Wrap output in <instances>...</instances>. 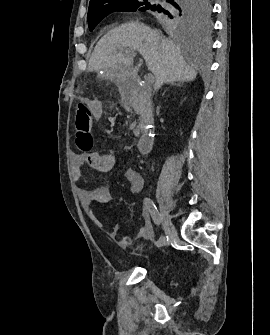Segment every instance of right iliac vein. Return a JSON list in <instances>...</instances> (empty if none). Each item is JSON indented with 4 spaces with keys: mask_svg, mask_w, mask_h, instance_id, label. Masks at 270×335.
I'll return each instance as SVG.
<instances>
[{
    "mask_svg": "<svg viewBox=\"0 0 270 335\" xmlns=\"http://www.w3.org/2000/svg\"><path fill=\"white\" fill-rule=\"evenodd\" d=\"M160 222H161L163 230H165V231H170L171 230L172 224H171V221H170V216H169L168 211L164 207H162V209H161Z\"/></svg>",
    "mask_w": 270,
    "mask_h": 335,
    "instance_id": "63e3f726",
    "label": "right iliac vein"
}]
</instances>
